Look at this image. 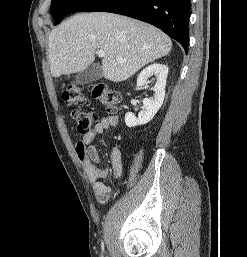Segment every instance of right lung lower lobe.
<instances>
[{"label":"right lung lower lobe","mask_w":247,"mask_h":257,"mask_svg":"<svg viewBox=\"0 0 247 257\" xmlns=\"http://www.w3.org/2000/svg\"><path fill=\"white\" fill-rule=\"evenodd\" d=\"M79 12H111L150 23L188 52L190 0H92Z\"/></svg>","instance_id":"98d812e1"}]
</instances>
